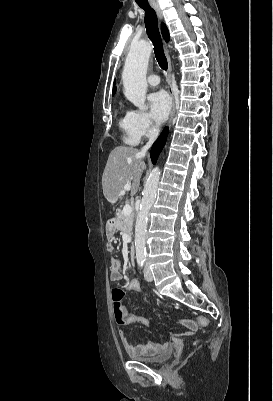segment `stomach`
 Instances as JSON below:
<instances>
[{"instance_id":"stomach-1","label":"stomach","mask_w":273,"mask_h":401,"mask_svg":"<svg viewBox=\"0 0 273 401\" xmlns=\"http://www.w3.org/2000/svg\"><path fill=\"white\" fill-rule=\"evenodd\" d=\"M116 229H115V225H112V223H107L106 225V235L108 237V239H111V237H113L114 233H115Z\"/></svg>"}]
</instances>
